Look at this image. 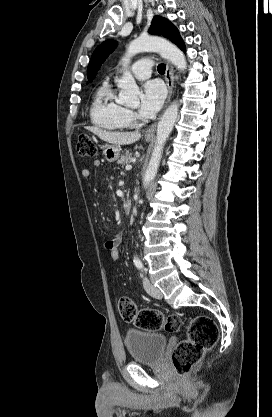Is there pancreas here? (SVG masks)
I'll return each instance as SVG.
<instances>
[{"mask_svg":"<svg viewBox=\"0 0 272 417\" xmlns=\"http://www.w3.org/2000/svg\"><path fill=\"white\" fill-rule=\"evenodd\" d=\"M131 159H132V154L128 152L125 155H122L120 157V159L117 161V163L119 165H123L124 166L126 164H129L131 162Z\"/></svg>","mask_w":272,"mask_h":417,"instance_id":"1","label":"pancreas"}]
</instances>
